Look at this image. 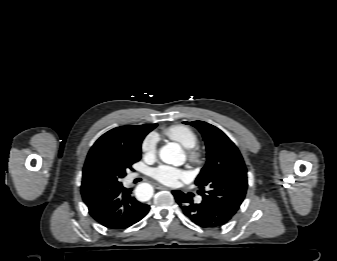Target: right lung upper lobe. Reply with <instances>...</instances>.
<instances>
[{
  "label": "right lung upper lobe",
  "mask_w": 337,
  "mask_h": 261,
  "mask_svg": "<svg viewBox=\"0 0 337 261\" xmlns=\"http://www.w3.org/2000/svg\"><path fill=\"white\" fill-rule=\"evenodd\" d=\"M156 126L157 124H144L114 128L106 132L95 142V144L90 149L89 154L101 148L132 149ZM81 192L83 201L87 206L98 198L97 196L88 194L84 189H82Z\"/></svg>",
  "instance_id": "obj_1"
}]
</instances>
